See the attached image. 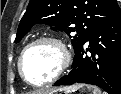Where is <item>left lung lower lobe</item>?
<instances>
[{"label":"left lung lower lobe","instance_id":"obj_1","mask_svg":"<svg viewBox=\"0 0 121 94\" xmlns=\"http://www.w3.org/2000/svg\"><path fill=\"white\" fill-rule=\"evenodd\" d=\"M74 83L92 84L109 94H121V13L93 32L76 51L72 70L54 86Z\"/></svg>","mask_w":121,"mask_h":94}]
</instances>
